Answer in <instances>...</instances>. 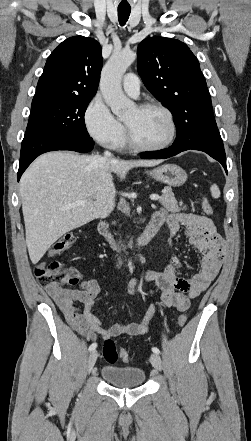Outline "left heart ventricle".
Segmentation results:
<instances>
[{"label": "left heart ventricle", "mask_w": 251, "mask_h": 441, "mask_svg": "<svg viewBox=\"0 0 251 441\" xmlns=\"http://www.w3.org/2000/svg\"><path fill=\"white\" fill-rule=\"evenodd\" d=\"M136 139L145 145H159L170 135L167 116L158 109L139 110L132 108L124 117Z\"/></svg>", "instance_id": "b2bd125f"}]
</instances>
